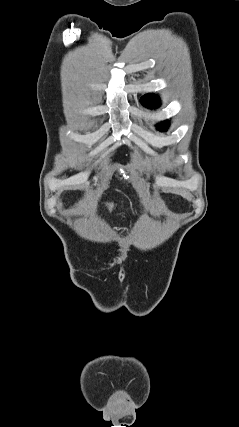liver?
<instances>
[{"instance_id":"obj_1","label":"liver","mask_w":239,"mask_h":427,"mask_svg":"<svg viewBox=\"0 0 239 427\" xmlns=\"http://www.w3.org/2000/svg\"><path fill=\"white\" fill-rule=\"evenodd\" d=\"M108 207H109V210L112 211L114 205L113 204H109Z\"/></svg>"}]
</instances>
